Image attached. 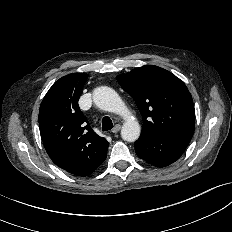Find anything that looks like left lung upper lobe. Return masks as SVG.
<instances>
[{
  "label": "left lung upper lobe",
  "instance_id": "5c2ea615",
  "mask_svg": "<svg viewBox=\"0 0 232 232\" xmlns=\"http://www.w3.org/2000/svg\"><path fill=\"white\" fill-rule=\"evenodd\" d=\"M117 80L133 97L143 116L141 134L193 136L192 96L174 74L158 66L145 65L118 75Z\"/></svg>",
  "mask_w": 232,
  "mask_h": 232
}]
</instances>
